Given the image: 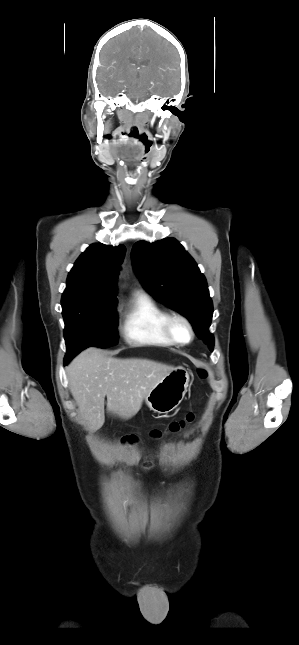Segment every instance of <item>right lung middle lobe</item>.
Here are the masks:
<instances>
[{"instance_id":"dd1d6c3e","label":"right lung middle lobe","mask_w":299,"mask_h":645,"mask_svg":"<svg viewBox=\"0 0 299 645\" xmlns=\"http://www.w3.org/2000/svg\"><path fill=\"white\" fill-rule=\"evenodd\" d=\"M62 315L65 322L66 363L86 347L106 348L117 344L116 300L69 301L62 304Z\"/></svg>"}]
</instances>
